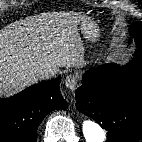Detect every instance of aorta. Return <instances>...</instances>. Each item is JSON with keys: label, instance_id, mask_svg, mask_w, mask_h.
<instances>
[{"label": "aorta", "instance_id": "762f6f07", "mask_svg": "<svg viewBox=\"0 0 142 142\" xmlns=\"http://www.w3.org/2000/svg\"><path fill=\"white\" fill-rule=\"evenodd\" d=\"M82 131L87 142H104L105 140L104 130L93 121H84Z\"/></svg>", "mask_w": 142, "mask_h": 142}]
</instances>
